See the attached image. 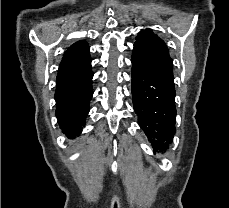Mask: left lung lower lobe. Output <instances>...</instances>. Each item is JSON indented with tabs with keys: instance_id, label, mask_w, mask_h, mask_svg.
Instances as JSON below:
<instances>
[{
	"instance_id": "obj_1",
	"label": "left lung lower lobe",
	"mask_w": 229,
	"mask_h": 208,
	"mask_svg": "<svg viewBox=\"0 0 229 208\" xmlns=\"http://www.w3.org/2000/svg\"><path fill=\"white\" fill-rule=\"evenodd\" d=\"M132 66L133 107L154 154L165 151L175 135V89L153 79L135 60Z\"/></svg>"
}]
</instances>
